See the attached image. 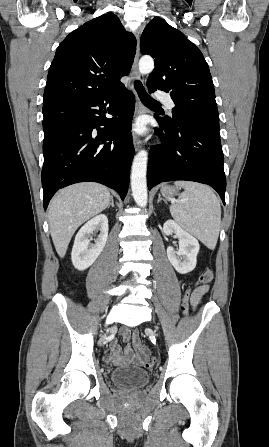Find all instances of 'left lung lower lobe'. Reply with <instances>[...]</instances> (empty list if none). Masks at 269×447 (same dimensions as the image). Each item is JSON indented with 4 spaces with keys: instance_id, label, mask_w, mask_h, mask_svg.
<instances>
[{
    "instance_id": "obj_1",
    "label": "left lung lower lobe",
    "mask_w": 269,
    "mask_h": 447,
    "mask_svg": "<svg viewBox=\"0 0 269 447\" xmlns=\"http://www.w3.org/2000/svg\"><path fill=\"white\" fill-rule=\"evenodd\" d=\"M162 144L149 152L147 184L188 180L213 187L225 205L226 178L219 130L155 115Z\"/></svg>"
}]
</instances>
